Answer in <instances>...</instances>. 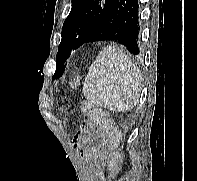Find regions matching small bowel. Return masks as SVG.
<instances>
[{
	"instance_id": "small-bowel-1",
	"label": "small bowel",
	"mask_w": 197,
	"mask_h": 181,
	"mask_svg": "<svg viewBox=\"0 0 197 181\" xmlns=\"http://www.w3.org/2000/svg\"><path fill=\"white\" fill-rule=\"evenodd\" d=\"M98 133L102 135L99 131ZM95 136V130L90 125L87 124L84 126L82 132L77 136L76 141L78 146H84L87 145V149L85 151V160L90 163L91 170L94 171L95 176L98 177V169L100 168V163L97 161V152L99 151V148L94 147L93 145H90V140Z\"/></svg>"
}]
</instances>
